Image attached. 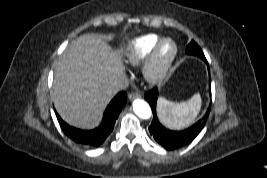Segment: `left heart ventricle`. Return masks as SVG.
Listing matches in <instances>:
<instances>
[{"label":"left heart ventricle","instance_id":"1","mask_svg":"<svg viewBox=\"0 0 267 178\" xmlns=\"http://www.w3.org/2000/svg\"><path fill=\"white\" fill-rule=\"evenodd\" d=\"M173 51V45L170 42H167L163 45L160 52V60H164L171 55Z\"/></svg>","mask_w":267,"mask_h":178}]
</instances>
